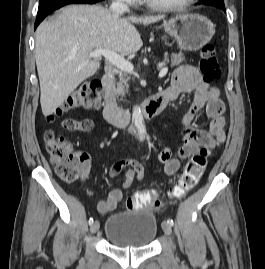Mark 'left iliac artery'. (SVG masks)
Here are the masks:
<instances>
[{
	"mask_svg": "<svg viewBox=\"0 0 265 269\" xmlns=\"http://www.w3.org/2000/svg\"><path fill=\"white\" fill-rule=\"evenodd\" d=\"M167 222L171 225V226H173L174 225V222H173V220L172 219H168L167 220Z\"/></svg>",
	"mask_w": 265,
	"mask_h": 269,
	"instance_id": "obj_1",
	"label": "left iliac artery"
}]
</instances>
